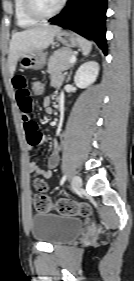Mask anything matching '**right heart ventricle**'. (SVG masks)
I'll return each mask as SVG.
<instances>
[{"label": "right heart ventricle", "instance_id": "obj_1", "mask_svg": "<svg viewBox=\"0 0 134 281\" xmlns=\"http://www.w3.org/2000/svg\"><path fill=\"white\" fill-rule=\"evenodd\" d=\"M14 15L16 23L21 28H30L38 23L25 10L24 0H14Z\"/></svg>", "mask_w": 134, "mask_h": 281}]
</instances>
